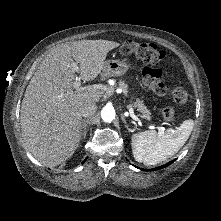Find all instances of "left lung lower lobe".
<instances>
[{
	"mask_svg": "<svg viewBox=\"0 0 221 221\" xmlns=\"http://www.w3.org/2000/svg\"><path fill=\"white\" fill-rule=\"evenodd\" d=\"M174 161H170V162H168L167 164H165V165H162V166H160V167H156L155 169H150V170H148V171H155V170H158V169H161V168H165V167H167V166H169L170 164H172ZM138 168V167H137ZM142 170H144V171H147V169H142Z\"/></svg>",
	"mask_w": 221,
	"mask_h": 221,
	"instance_id": "0a47b994",
	"label": "left lung lower lobe"
}]
</instances>
